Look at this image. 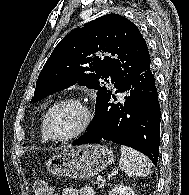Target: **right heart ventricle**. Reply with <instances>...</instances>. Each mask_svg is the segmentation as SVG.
Segmentation results:
<instances>
[{"label": "right heart ventricle", "mask_w": 189, "mask_h": 195, "mask_svg": "<svg viewBox=\"0 0 189 195\" xmlns=\"http://www.w3.org/2000/svg\"><path fill=\"white\" fill-rule=\"evenodd\" d=\"M43 118H44V116L42 117L41 123H40V134H41V139H42L43 141H48V138H47V136H46V134H45V132H44V128H43Z\"/></svg>", "instance_id": "right-heart-ventricle-1"}]
</instances>
